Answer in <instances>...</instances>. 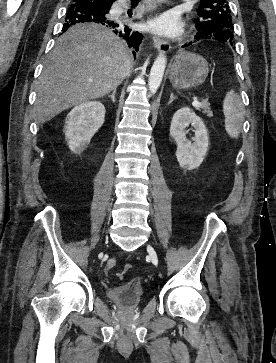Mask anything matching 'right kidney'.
<instances>
[{
    "mask_svg": "<svg viewBox=\"0 0 276 363\" xmlns=\"http://www.w3.org/2000/svg\"><path fill=\"white\" fill-rule=\"evenodd\" d=\"M104 120L105 107L99 101L85 102L73 108L65 119L63 130L71 152L81 154Z\"/></svg>",
    "mask_w": 276,
    "mask_h": 363,
    "instance_id": "1",
    "label": "right kidney"
}]
</instances>
